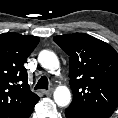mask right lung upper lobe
<instances>
[{
    "label": "right lung upper lobe",
    "instance_id": "1",
    "mask_svg": "<svg viewBox=\"0 0 118 118\" xmlns=\"http://www.w3.org/2000/svg\"><path fill=\"white\" fill-rule=\"evenodd\" d=\"M39 37L0 34V118H29L39 97L28 85L24 67Z\"/></svg>",
    "mask_w": 118,
    "mask_h": 118
}]
</instances>
